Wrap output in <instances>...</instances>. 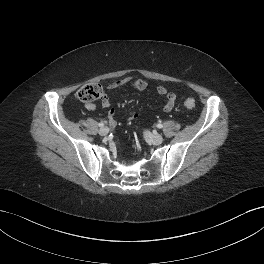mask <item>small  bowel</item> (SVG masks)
Instances as JSON below:
<instances>
[{"mask_svg":"<svg viewBox=\"0 0 264 264\" xmlns=\"http://www.w3.org/2000/svg\"><path fill=\"white\" fill-rule=\"evenodd\" d=\"M126 86L134 90L143 91L147 87V82L143 79H133V78L127 77V78L116 80L110 83L108 86V89L116 90V89L126 87ZM156 93L159 96L165 97V104H164L163 110L165 112H169L175 104V99H176L175 95L173 93H168L164 86L157 87ZM101 103L103 107L108 108L110 106V100L107 96L103 97ZM85 108L87 110L94 111L96 109V105L94 103H87L85 105ZM115 116H116V109L111 108L109 111V115H108L110 125L115 124Z\"/></svg>","mask_w":264,"mask_h":264,"instance_id":"obj_1","label":"small bowel"}]
</instances>
